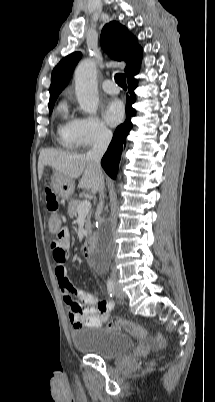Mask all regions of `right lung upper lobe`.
I'll return each instance as SVG.
<instances>
[{
    "label": "right lung upper lobe",
    "mask_w": 215,
    "mask_h": 402,
    "mask_svg": "<svg viewBox=\"0 0 215 402\" xmlns=\"http://www.w3.org/2000/svg\"><path fill=\"white\" fill-rule=\"evenodd\" d=\"M102 48L115 60L127 63L124 69L127 79L138 74L142 59V48L128 29L117 21L107 23L101 32ZM81 58L74 52L63 58L53 69L50 85V99L57 98L67 86L73 70Z\"/></svg>",
    "instance_id": "1"
}]
</instances>
